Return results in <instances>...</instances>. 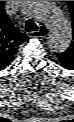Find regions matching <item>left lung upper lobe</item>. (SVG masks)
I'll return each instance as SVG.
<instances>
[{"instance_id":"left-lung-upper-lobe-1","label":"left lung upper lobe","mask_w":74,"mask_h":122,"mask_svg":"<svg viewBox=\"0 0 74 122\" xmlns=\"http://www.w3.org/2000/svg\"><path fill=\"white\" fill-rule=\"evenodd\" d=\"M68 7L72 13L73 41L65 52L56 53V56L59 61L69 63L74 66V1H68Z\"/></svg>"}]
</instances>
